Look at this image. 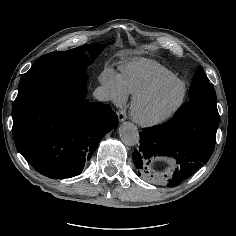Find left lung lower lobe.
<instances>
[{
	"label": "left lung lower lobe",
	"mask_w": 236,
	"mask_h": 236,
	"mask_svg": "<svg viewBox=\"0 0 236 236\" xmlns=\"http://www.w3.org/2000/svg\"><path fill=\"white\" fill-rule=\"evenodd\" d=\"M218 125L216 103L194 100L182 105L170 121L142 129L140 146L133 153L138 174L148 177V166L157 157L174 158L178 166L167 186L179 185L209 160Z\"/></svg>",
	"instance_id": "0a47b994"
}]
</instances>
